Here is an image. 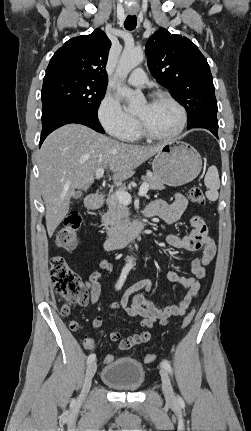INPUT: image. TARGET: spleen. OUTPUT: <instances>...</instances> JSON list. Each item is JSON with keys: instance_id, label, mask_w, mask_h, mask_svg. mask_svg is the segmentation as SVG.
I'll use <instances>...</instances> for the list:
<instances>
[{"instance_id": "1", "label": "spleen", "mask_w": 251, "mask_h": 431, "mask_svg": "<svg viewBox=\"0 0 251 431\" xmlns=\"http://www.w3.org/2000/svg\"><path fill=\"white\" fill-rule=\"evenodd\" d=\"M207 187L206 196L210 201L218 199V189L220 188L219 173L216 166H210L204 178Z\"/></svg>"}]
</instances>
